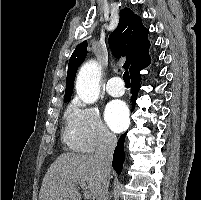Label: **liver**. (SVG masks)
Segmentation results:
<instances>
[{
	"mask_svg": "<svg viewBox=\"0 0 201 200\" xmlns=\"http://www.w3.org/2000/svg\"><path fill=\"white\" fill-rule=\"evenodd\" d=\"M79 183H87L91 196L96 199L101 170L95 155L61 154L45 174L39 200H81Z\"/></svg>",
	"mask_w": 201,
	"mask_h": 200,
	"instance_id": "6515ba94",
	"label": "liver"
}]
</instances>
